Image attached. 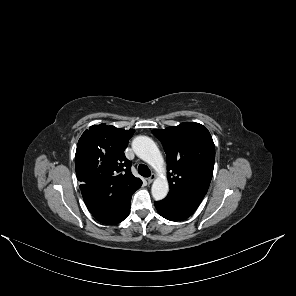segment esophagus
<instances>
[{
  "mask_svg": "<svg viewBox=\"0 0 296 296\" xmlns=\"http://www.w3.org/2000/svg\"><path fill=\"white\" fill-rule=\"evenodd\" d=\"M156 178V175L155 174H152L149 178H147V182L148 184H151Z\"/></svg>",
  "mask_w": 296,
  "mask_h": 296,
  "instance_id": "1",
  "label": "esophagus"
}]
</instances>
